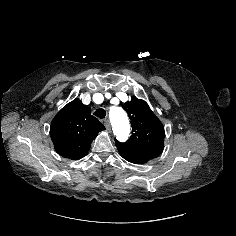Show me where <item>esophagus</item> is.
Instances as JSON below:
<instances>
[{
  "label": "esophagus",
  "mask_w": 236,
  "mask_h": 236,
  "mask_svg": "<svg viewBox=\"0 0 236 236\" xmlns=\"http://www.w3.org/2000/svg\"><path fill=\"white\" fill-rule=\"evenodd\" d=\"M104 125H105L106 130H107V131H110L111 126H110V122H109L108 119H105V121H104Z\"/></svg>",
  "instance_id": "34e87169"
}]
</instances>
